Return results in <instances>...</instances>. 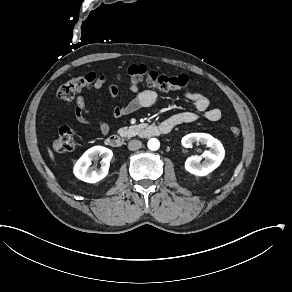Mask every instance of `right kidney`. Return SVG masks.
<instances>
[{
  "label": "right kidney",
  "mask_w": 292,
  "mask_h": 292,
  "mask_svg": "<svg viewBox=\"0 0 292 292\" xmlns=\"http://www.w3.org/2000/svg\"><path fill=\"white\" fill-rule=\"evenodd\" d=\"M101 160L99 169L90 167L92 161ZM113 157L112 150L103 146H94L88 149L76 162L73 172L74 175L85 182L96 183L102 180L109 170L110 161Z\"/></svg>",
  "instance_id": "1"
}]
</instances>
